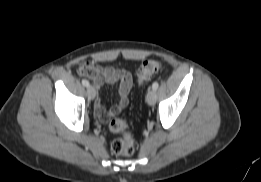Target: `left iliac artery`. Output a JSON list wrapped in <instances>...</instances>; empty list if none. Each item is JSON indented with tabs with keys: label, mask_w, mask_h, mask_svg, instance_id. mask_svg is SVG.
<instances>
[{
	"label": "left iliac artery",
	"mask_w": 261,
	"mask_h": 182,
	"mask_svg": "<svg viewBox=\"0 0 261 182\" xmlns=\"http://www.w3.org/2000/svg\"><path fill=\"white\" fill-rule=\"evenodd\" d=\"M158 87H159L158 82H154V83L152 84V88H153L154 90H157Z\"/></svg>",
	"instance_id": "left-iliac-artery-1"
}]
</instances>
